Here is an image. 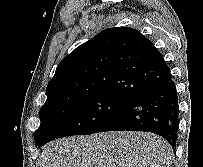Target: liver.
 Returning <instances> with one entry per match:
<instances>
[{
  "label": "liver",
  "instance_id": "6515ba94",
  "mask_svg": "<svg viewBox=\"0 0 203 167\" xmlns=\"http://www.w3.org/2000/svg\"><path fill=\"white\" fill-rule=\"evenodd\" d=\"M172 149L147 132L71 136L46 146L37 167H171Z\"/></svg>",
  "mask_w": 203,
  "mask_h": 167
}]
</instances>
